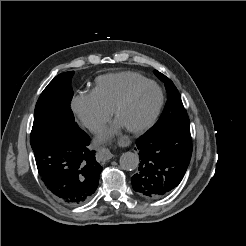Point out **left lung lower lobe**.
<instances>
[{"instance_id": "0a47b994", "label": "left lung lower lobe", "mask_w": 246, "mask_h": 246, "mask_svg": "<svg viewBox=\"0 0 246 246\" xmlns=\"http://www.w3.org/2000/svg\"><path fill=\"white\" fill-rule=\"evenodd\" d=\"M141 162L133 189L145 198L167 195L183 179L192 155L190 128L145 133L136 142Z\"/></svg>"}]
</instances>
